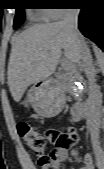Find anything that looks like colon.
<instances>
[{
  "instance_id": "1",
  "label": "colon",
  "mask_w": 104,
  "mask_h": 169,
  "mask_svg": "<svg viewBox=\"0 0 104 169\" xmlns=\"http://www.w3.org/2000/svg\"><path fill=\"white\" fill-rule=\"evenodd\" d=\"M18 133L25 144L36 157L41 166L51 164V157L46 154L49 145L55 144L59 147H70L77 142V134L73 130L67 132L50 128L41 132L38 128L28 122H20L17 126Z\"/></svg>"
}]
</instances>
